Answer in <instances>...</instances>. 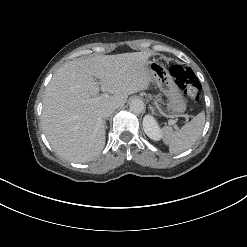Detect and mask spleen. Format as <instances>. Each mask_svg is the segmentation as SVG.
I'll list each match as a JSON object with an SVG mask.
<instances>
[{
  "instance_id": "obj_1",
  "label": "spleen",
  "mask_w": 247,
  "mask_h": 247,
  "mask_svg": "<svg viewBox=\"0 0 247 247\" xmlns=\"http://www.w3.org/2000/svg\"><path fill=\"white\" fill-rule=\"evenodd\" d=\"M204 125L205 113L200 112L180 130L174 131L171 127H164L163 141L169 146L170 153L177 154L189 149L202 134Z\"/></svg>"
}]
</instances>
